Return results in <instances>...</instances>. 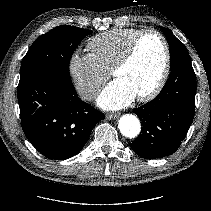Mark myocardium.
Wrapping results in <instances>:
<instances>
[{"label":"myocardium","instance_id":"myocardium-1","mask_svg":"<svg viewBox=\"0 0 211 211\" xmlns=\"http://www.w3.org/2000/svg\"><path fill=\"white\" fill-rule=\"evenodd\" d=\"M149 34L155 35L162 42L163 49H164V64H163L162 72L159 76V79L157 80L154 87L147 93L136 97L137 101L139 102H148L154 99L161 92V90L163 89V87L165 86L167 82V79L170 74L171 54H170V47H169L166 37L160 31L156 29L141 30L132 39V41L130 42L124 54L121 56V58L116 62V64L111 69V75L115 77L119 71L124 69L132 61V59L134 58L136 54L139 42L144 36L149 35Z\"/></svg>","mask_w":211,"mask_h":211}]
</instances>
